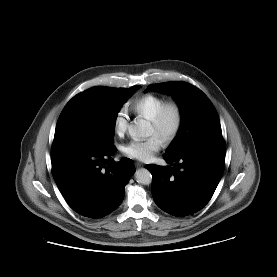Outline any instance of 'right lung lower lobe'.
I'll return each instance as SVG.
<instances>
[{
  "label": "right lung lower lobe",
  "mask_w": 277,
  "mask_h": 277,
  "mask_svg": "<svg viewBox=\"0 0 277 277\" xmlns=\"http://www.w3.org/2000/svg\"><path fill=\"white\" fill-rule=\"evenodd\" d=\"M115 148L102 150L72 140H54L52 175L69 206L78 214L101 218L123 201L125 185L135 172L131 159L108 164Z\"/></svg>",
  "instance_id": "98d812e1"
}]
</instances>
